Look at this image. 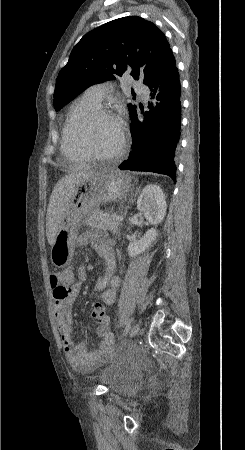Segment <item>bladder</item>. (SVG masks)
Wrapping results in <instances>:
<instances>
[{
	"label": "bladder",
	"mask_w": 245,
	"mask_h": 450,
	"mask_svg": "<svg viewBox=\"0 0 245 450\" xmlns=\"http://www.w3.org/2000/svg\"><path fill=\"white\" fill-rule=\"evenodd\" d=\"M96 379L101 381L108 390L124 396L136 385L139 376L132 365L119 361L98 369Z\"/></svg>",
	"instance_id": "bladder-1"
}]
</instances>
